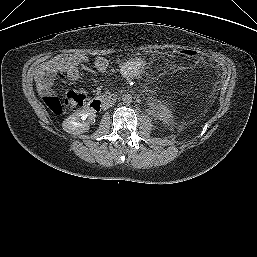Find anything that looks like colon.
Returning <instances> with one entry per match:
<instances>
[{"label":"colon","instance_id":"obj_1","mask_svg":"<svg viewBox=\"0 0 257 257\" xmlns=\"http://www.w3.org/2000/svg\"><path fill=\"white\" fill-rule=\"evenodd\" d=\"M178 53L189 59H195L199 56L197 51L189 48L180 49ZM44 100L48 108L54 114L60 115L64 112L65 107H69L73 110L82 108L85 102V94L81 91H69L62 101L53 95L46 96Z\"/></svg>","mask_w":257,"mask_h":257}]
</instances>
